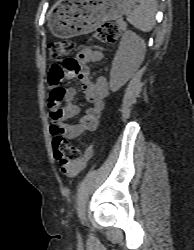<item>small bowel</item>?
Segmentation results:
<instances>
[{"mask_svg":"<svg viewBox=\"0 0 194 250\" xmlns=\"http://www.w3.org/2000/svg\"><path fill=\"white\" fill-rule=\"evenodd\" d=\"M104 58L105 53L103 50L87 46L79 52L76 59H69L63 64L52 66L51 71L63 75V78H77L89 103L83 116L77 122L69 123L68 120L79 113V107L73 103L76 90L73 87L64 88V106L60 107L59 104L50 101L53 120L52 133H60L66 139H75L85 132L94 131L97 128L104 108V101L110 92V86L107 79L102 76L93 82L90 79L89 65L101 62ZM92 154V147L89 146L82 157L71 163L68 169L62 170V172L70 177L78 175L86 167Z\"/></svg>","mask_w":194,"mask_h":250,"instance_id":"small-bowel-1","label":"small bowel"}]
</instances>
